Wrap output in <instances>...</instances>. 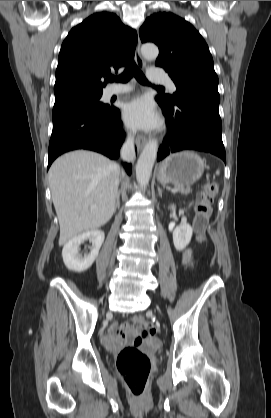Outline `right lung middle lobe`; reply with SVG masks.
I'll return each instance as SVG.
<instances>
[{
    "mask_svg": "<svg viewBox=\"0 0 271 418\" xmlns=\"http://www.w3.org/2000/svg\"><path fill=\"white\" fill-rule=\"evenodd\" d=\"M101 96L102 94L78 96L55 102L53 107V120L80 111L109 108L110 106L100 101Z\"/></svg>",
    "mask_w": 271,
    "mask_h": 418,
    "instance_id": "right-lung-middle-lobe-1",
    "label": "right lung middle lobe"
}]
</instances>
